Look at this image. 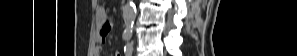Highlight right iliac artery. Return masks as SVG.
Listing matches in <instances>:
<instances>
[{"instance_id": "obj_1", "label": "right iliac artery", "mask_w": 297, "mask_h": 56, "mask_svg": "<svg viewBox=\"0 0 297 56\" xmlns=\"http://www.w3.org/2000/svg\"><path fill=\"white\" fill-rule=\"evenodd\" d=\"M123 39L124 40H129L130 39V35L129 34H123Z\"/></svg>"}]
</instances>
